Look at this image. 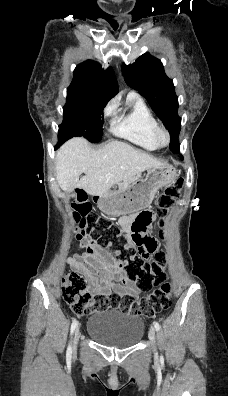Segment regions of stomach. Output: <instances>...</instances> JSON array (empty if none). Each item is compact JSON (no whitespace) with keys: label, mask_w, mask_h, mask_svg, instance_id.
<instances>
[{"label":"stomach","mask_w":228,"mask_h":396,"mask_svg":"<svg viewBox=\"0 0 228 396\" xmlns=\"http://www.w3.org/2000/svg\"><path fill=\"white\" fill-rule=\"evenodd\" d=\"M177 173L171 165L150 168L147 174L126 189L95 195L98 208L108 215H124L149 207L157 191L174 181Z\"/></svg>","instance_id":"0dacf381"}]
</instances>
